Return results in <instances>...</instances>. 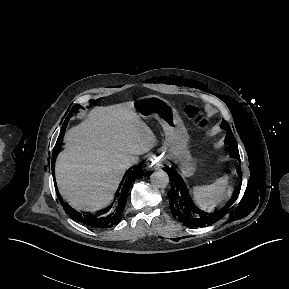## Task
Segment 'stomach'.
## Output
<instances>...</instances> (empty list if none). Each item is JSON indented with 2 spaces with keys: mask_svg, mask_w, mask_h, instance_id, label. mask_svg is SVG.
I'll list each match as a JSON object with an SVG mask.
<instances>
[{
  "mask_svg": "<svg viewBox=\"0 0 289 289\" xmlns=\"http://www.w3.org/2000/svg\"><path fill=\"white\" fill-rule=\"evenodd\" d=\"M136 113L142 118L154 117L165 133V157L179 164L184 173L194 169V158L189 149V136L176 109L165 99L146 96L135 103Z\"/></svg>",
  "mask_w": 289,
  "mask_h": 289,
  "instance_id": "obj_1",
  "label": "stomach"
}]
</instances>
